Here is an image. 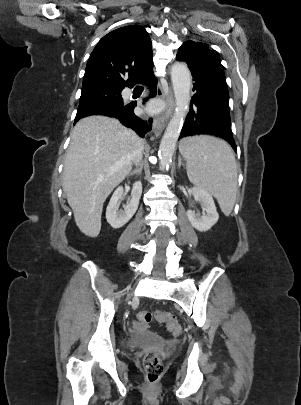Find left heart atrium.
<instances>
[{
  "mask_svg": "<svg viewBox=\"0 0 301 405\" xmlns=\"http://www.w3.org/2000/svg\"><path fill=\"white\" fill-rule=\"evenodd\" d=\"M152 109H156L157 107L155 105L151 106Z\"/></svg>",
  "mask_w": 301,
  "mask_h": 405,
  "instance_id": "39dd6f15",
  "label": "left heart atrium"
}]
</instances>
